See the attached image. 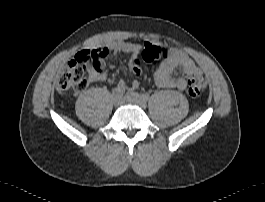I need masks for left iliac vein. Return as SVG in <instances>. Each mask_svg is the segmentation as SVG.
<instances>
[{
  "instance_id": "1",
  "label": "left iliac vein",
  "mask_w": 265,
  "mask_h": 202,
  "mask_svg": "<svg viewBox=\"0 0 265 202\" xmlns=\"http://www.w3.org/2000/svg\"><path fill=\"white\" fill-rule=\"evenodd\" d=\"M126 101L130 104L137 105L140 108H145L147 106L145 100H143L139 94L133 91H128L126 93Z\"/></svg>"
}]
</instances>
